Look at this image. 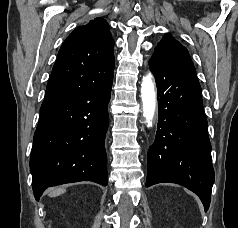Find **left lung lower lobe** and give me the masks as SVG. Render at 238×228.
I'll return each instance as SVG.
<instances>
[{
  "label": "left lung lower lobe",
  "mask_w": 238,
  "mask_h": 228,
  "mask_svg": "<svg viewBox=\"0 0 238 228\" xmlns=\"http://www.w3.org/2000/svg\"><path fill=\"white\" fill-rule=\"evenodd\" d=\"M157 84L159 117L148 150L146 187L176 183L196 193L208 210L215 175L201 86L195 68L156 51L149 60Z\"/></svg>",
  "instance_id": "0a47b994"
}]
</instances>
